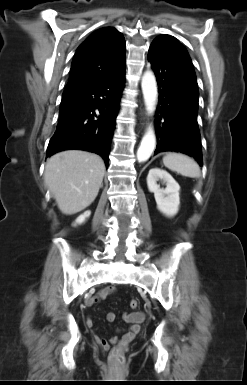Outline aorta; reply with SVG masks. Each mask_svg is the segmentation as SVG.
<instances>
[{
	"label": "aorta",
	"instance_id": "aorta-1",
	"mask_svg": "<svg viewBox=\"0 0 247 385\" xmlns=\"http://www.w3.org/2000/svg\"><path fill=\"white\" fill-rule=\"evenodd\" d=\"M141 87L144 97V103L149 115H153L157 101V82L152 71H146L143 74ZM156 146V137L152 125H149L145 132L140 146L137 150V159L139 162L147 161L152 155Z\"/></svg>",
	"mask_w": 247,
	"mask_h": 385
}]
</instances>
